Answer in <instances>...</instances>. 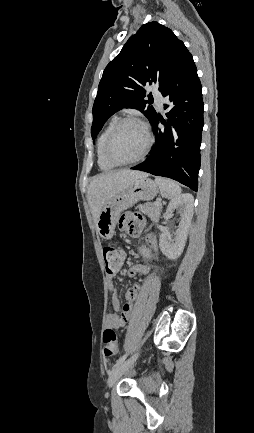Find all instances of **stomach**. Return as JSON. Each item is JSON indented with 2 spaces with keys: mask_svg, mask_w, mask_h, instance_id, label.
<instances>
[{
  "mask_svg": "<svg viewBox=\"0 0 254 433\" xmlns=\"http://www.w3.org/2000/svg\"><path fill=\"white\" fill-rule=\"evenodd\" d=\"M158 191L159 188L155 182L147 177H142L116 194L104 205L98 216L96 228L99 236L105 240L111 239L120 214L140 200H152Z\"/></svg>",
  "mask_w": 254,
  "mask_h": 433,
  "instance_id": "stomach-1",
  "label": "stomach"
}]
</instances>
